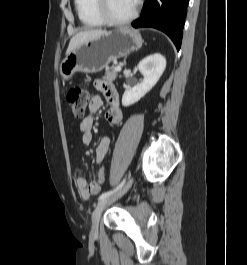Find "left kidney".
I'll use <instances>...</instances> for the list:
<instances>
[{
	"instance_id": "left-kidney-1",
	"label": "left kidney",
	"mask_w": 247,
	"mask_h": 265,
	"mask_svg": "<svg viewBox=\"0 0 247 265\" xmlns=\"http://www.w3.org/2000/svg\"><path fill=\"white\" fill-rule=\"evenodd\" d=\"M137 67L144 79L141 83L124 92L122 105L125 107L139 101L156 85L165 70L166 59L160 53H155L145 57Z\"/></svg>"
}]
</instances>
